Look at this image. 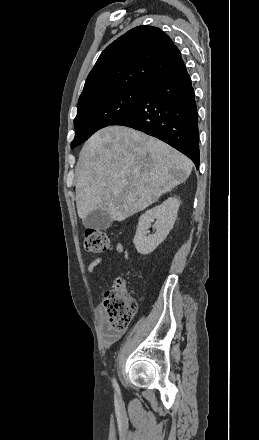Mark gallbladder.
Segmentation results:
<instances>
[{"label": "gallbladder", "instance_id": "obj_1", "mask_svg": "<svg viewBox=\"0 0 259 440\" xmlns=\"http://www.w3.org/2000/svg\"><path fill=\"white\" fill-rule=\"evenodd\" d=\"M112 224V219L110 215L101 209H97L87 215L83 219V225L85 228L94 230H106Z\"/></svg>", "mask_w": 259, "mask_h": 440}]
</instances>
